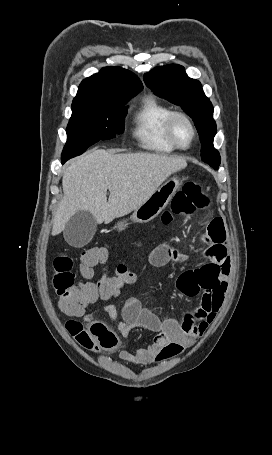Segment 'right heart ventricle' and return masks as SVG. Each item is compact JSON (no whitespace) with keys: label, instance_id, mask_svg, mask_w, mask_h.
<instances>
[{"label":"right heart ventricle","instance_id":"right-heart-ventricle-1","mask_svg":"<svg viewBox=\"0 0 272 455\" xmlns=\"http://www.w3.org/2000/svg\"><path fill=\"white\" fill-rule=\"evenodd\" d=\"M171 109L151 96L145 97L133 115L132 134L140 148L170 154L176 149L166 138L164 124Z\"/></svg>","mask_w":272,"mask_h":455}]
</instances>
